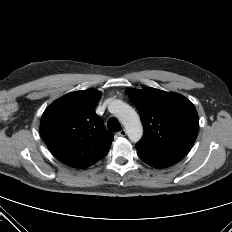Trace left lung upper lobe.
Listing matches in <instances>:
<instances>
[{
	"label": "left lung upper lobe",
	"mask_w": 232,
	"mask_h": 232,
	"mask_svg": "<svg viewBox=\"0 0 232 232\" xmlns=\"http://www.w3.org/2000/svg\"><path fill=\"white\" fill-rule=\"evenodd\" d=\"M144 127L137 153L151 157L186 156L199 130L198 114L184 96L155 88L128 89Z\"/></svg>",
	"instance_id": "1"
}]
</instances>
